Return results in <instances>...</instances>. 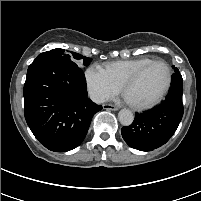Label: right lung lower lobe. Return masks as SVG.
<instances>
[{
    "mask_svg": "<svg viewBox=\"0 0 201 201\" xmlns=\"http://www.w3.org/2000/svg\"><path fill=\"white\" fill-rule=\"evenodd\" d=\"M23 94L28 126L42 145L55 152L80 145L93 115L102 109L87 98L82 70L68 62L34 61Z\"/></svg>",
    "mask_w": 201,
    "mask_h": 201,
    "instance_id": "obj_1",
    "label": "right lung lower lobe"
}]
</instances>
